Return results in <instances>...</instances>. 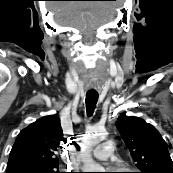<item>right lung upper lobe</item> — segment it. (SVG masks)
<instances>
[{
  "label": "right lung upper lobe",
  "instance_id": "obj_1",
  "mask_svg": "<svg viewBox=\"0 0 173 173\" xmlns=\"http://www.w3.org/2000/svg\"><path fill=\"white\" fill-rule=\"evenodd\" d=\"M64 140L60 119L42 117L23 129L9 154L7 173H28L56 169L57 152Z\"/></svg>",
  "mask_w": 173,
  "mask_h": 173
}]
</instances>
